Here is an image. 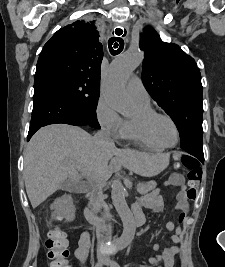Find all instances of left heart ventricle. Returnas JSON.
<instances>
[{
	"label": "left heart ventricle",
	"instance_id": "left-heart-ventricle-1",
	"mask_svg": "<svg viewBox=\"0 0 225 267\" xmlns=\"http://www.w3.org/2000/svg\"><path fill=\"white\" fill-rule=\"evenodd\" d=\"M154 133L158 142L162 145H173L176 142V131L172 123L165 119L159 118L154 123Z\"/></svg>",
	"mask_w": 225,
	"mask_h": 267
}]
</instances>
